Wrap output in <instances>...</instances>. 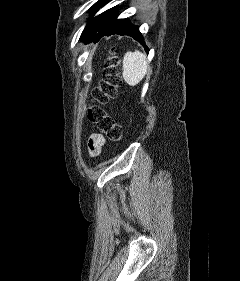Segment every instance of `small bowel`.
I'll list each match as a JSON object with an SVG mask.
<instances>
[{
	"mask_svg": "<svg viewBox=\"0 0 240 281\" xmlns=\"http://www.w3.org/2000/svg\"><path fill=\"white\" fill-rule=\"evenodd\" d=\"M106 139L102 134L91 133L88 139V152L92 157L100 155L102 147L105 145Z\"/></svg>",
	"mask_w": 240,
	"mask_h": 281,
	"instance_id": "c3829d8e",
	"label": "small bowel"
}]
</instances>
